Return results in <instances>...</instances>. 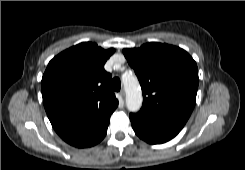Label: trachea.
<instances>
[{
	"label": "trachea",
	"instance_id": "1",
	"mask_svg": "<svg viewBox=\"0 0 245 170\" xmlns=\"http://www.w3.org/2000/svg\"><path fill=\"white\" fill-rule=\"evenodd\" d=\"M111 87L114 91H119L120 88H121V82H120V79L119 78H114L112 81H111Z\"/></svg>",
	"mask_w": 245,
	"mask_h": 170
}]
</instances>
